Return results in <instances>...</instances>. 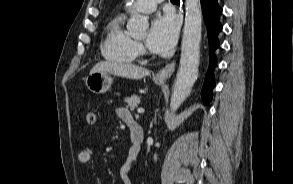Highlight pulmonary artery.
Masks as SVG:
<instances>
[{"instance_id": "pulmonary-artery-1", "label": "pulmonary artery", "mask_w": 293, "mask_h": 184, "mask_svg": "<svg viewBox=\"0 0 293 184\" xmlns=\"http://www.w3.org/2000/svg\"><path fill=\"white\" fill-rule=\"evenodd\" d=\"M162 1L163 0H137L134 9L142 13H151L156 9L158 3Z\"/></svg>"}]
</instances>
